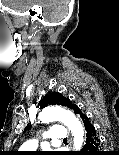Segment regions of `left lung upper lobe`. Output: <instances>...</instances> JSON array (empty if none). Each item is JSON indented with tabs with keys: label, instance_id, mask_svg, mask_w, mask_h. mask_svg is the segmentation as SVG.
<instances>
[{
	"label": "left lung upper lobe",
	"instance_id": "obj_1",
	"mask_svg": "<svg viewBox=\"0 0 119 155\" xmlns=\"http://www.w3.org/2000/svg\"><path fill=\"white\" fill-rule=\"evenodd\" d=\"M39 105L41 108H44L48 105H62L69 109H72V110L76 106V105L72 104V102L68 98L64 97L59 92H53L49 95L44 96L41 99V102ZM29 127H30V125H27L26 129H28Z\"/></svg>",
	"mask_w": 119,
	"mask_h": 155
}]
</instances>
